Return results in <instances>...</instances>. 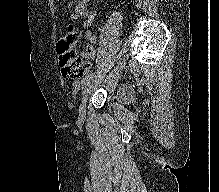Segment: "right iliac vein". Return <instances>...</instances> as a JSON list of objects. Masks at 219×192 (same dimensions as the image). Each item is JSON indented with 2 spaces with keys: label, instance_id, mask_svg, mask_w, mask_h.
Instances as JSON below:
<instances>
[{
  "label": "right iliac vein",
  "instance_id": "63e3f726",
  "mask_svg": "<svg viewBox=\"0 0 219 192\" xmlns=\"http://www.w3.org/2000/svg\"><path fill=\"white\" fill-rule=\"evenodd\" d=\"M92 80L89 79L86 83L83 84L80 96V106H79V116L81 118L85 117L86 105L88 100L87 90L91 85Z\"/></svg>",
  "mask_w": 219,
  "mask_h": 192
}]
</instances>
